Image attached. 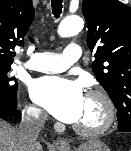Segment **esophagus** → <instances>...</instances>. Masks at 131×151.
Instances as JSON below:
<instances>
[{
  "instance_id": "1",
  "label": "esophagus",
  "mask_w": 131,
  "mask_h": 151,
  "mask_svg": "<svg viewBox=\"0 0 131 151\" xmlns=\"http://www.w3.org/2000/svg\"><path fill=\"white\" fill-rule=\"evenodd\" d=\"M53 143L55 146L62 150H66L69 148V143L65 139H55Z\"/></svg>"
}]
</instances>
